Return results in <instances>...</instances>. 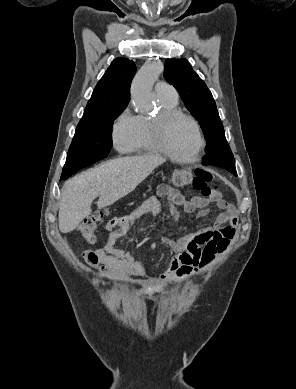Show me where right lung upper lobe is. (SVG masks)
<instances>
[{
    "mask_svg": "<svg viewBox=\"0 0 296 389\" xmlns=\"http://www.w3.org/2000/svg\"><path fill=\"white\" fill-rule=\"evenodd\" d=\"M135 72L134 62L127 58H116L112 61L96 85L82 118L126 107L130 100V84Z\"/></svg>",
    "mask_w": 296,
    "mask_h": 389,
    "instance_id": "cb5924a9",
    "label": "right lung upper lobe"
}]
</instances>
